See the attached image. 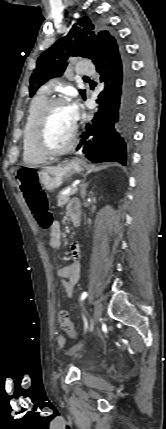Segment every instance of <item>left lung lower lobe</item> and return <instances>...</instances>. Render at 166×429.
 Wrapping results in <instances>:
<instances>
[{
  "instance_id": "left-lung-lower-lobe-1",
  "label": "left lung lower lobe",
  "mask_w": 166,
  "mask_h": 429,
  "mask_svg": "<svg viewBox=\"0 0 166 429\" xmlns=\"http://www.w3.org/2000/svg\"><path fill=\"white\" fill-rule=\"evenodd\" d=\"M92 60L105 88L99 94V109L92 124L88 123L77 150L93 163L127 162L135 118L136 93L131 64L124 47L116 39L99 42Z\"/></svg>"
}]
</instances>
